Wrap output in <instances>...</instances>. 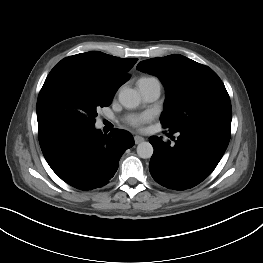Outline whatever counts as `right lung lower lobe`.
I'll return each instance as SVG.
<instances>
[{
	"instance_id": "98d812e1",
	"label": "right lung lower lobe",
	"mask_w": 263,
	"mask_h": 263,
	"mask_svg": "<svg viewBox=\"0 0 263 263\" xmlns=\"http://www.w3.org/2000/svg\"><path fill=\"white\" fill-rule=\"evenodd\" d=\"M43 155L63 181L80 190L109 183L122 154L134 145L132 135L114 129L109 135L91 128H63L39 134Z\"/></svg>"
}]
</instances>
